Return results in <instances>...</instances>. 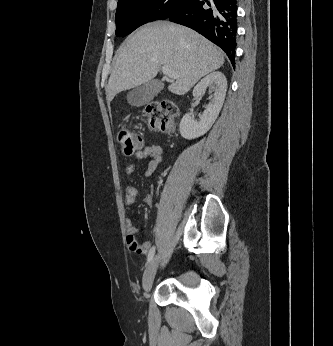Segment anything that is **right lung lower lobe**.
Instances as JSON below:
<instances>
[{
  "mask_svg": "<svg viewBox=\"0 0 333 346\" xmlns=\"http://www.w3.org/2000/svg\"><path fill=\"white\" fill-rule=\"evenodd\" d=\"M167 19L205 36L221 47L235 65L236 0H185Z\"/></svg>",
  "mask_w": 333,
  "mask_h": 346,
  "instance_id": "obj_1",
  "label": "right lung lower lobe"
}]
</instances>
